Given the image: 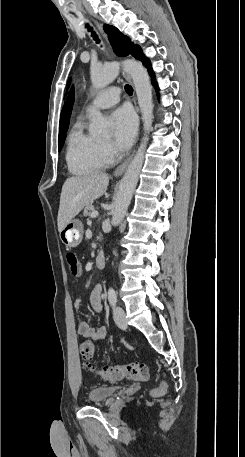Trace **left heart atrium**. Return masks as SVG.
<instances>
[{
  "mask_svg": "<svg viewBox=\"0 0 245 457\" xmlns=\"http://www.w3.org/2000/svg\"><path fill=\"white\" fill-rule=\"evenodd\" d=\"M114 128V143L119 148H127L135 135L137 119L133 111L127 107H121L112 114Z\"/></svg>",
  "mask_w": 245,
  "mask_h": 457,
  "instance_id": "1",
  "label": "left heart atrium"
}]
</instances>
